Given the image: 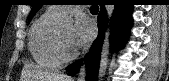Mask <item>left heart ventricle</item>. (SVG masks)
<instances>
[{
    "label": "left heart ventricle",
    "instance_id": "1",
    "mask_svg": "<svg viewBox=\"0 0 169 81\" xmlns=\"http://www.w3.org/2000/svg\"><path fill=\"white\" fill-rule=\"evenodd\" d=\"M59 32L65 50L67 51L73 50V47L70 43L71 25H65L60 27Z\"/></svg>",
    "mask_w": 169,
    "mask_h": 81
}]
</instances>
